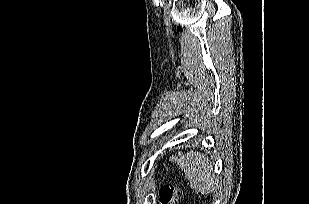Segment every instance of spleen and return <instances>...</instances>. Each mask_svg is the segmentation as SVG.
<instances>
[{"label": "spleen", "instance_id": "obj_1", "mask_svg": "<svg viewBox=\"0 0 309 204\" xmlns=\"http://www.w3.org/2000/svg\"><path fill=\"white\" fill-rule=\"evenodd\" d=\"M190 182V187L198 193H210L215 190L213 166L208 157L199 152L190 151L177 161Z\"/></svg>", "mask_w": 309, "mask_h": 204}]
</instances>
